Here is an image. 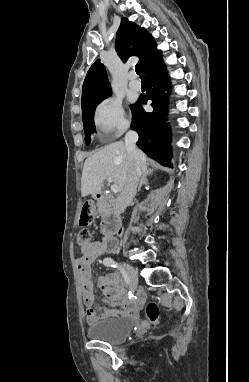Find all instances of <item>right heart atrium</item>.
<instances>
[{
    "mask_svg": "<svg viewBox=\"0 0 249 382\" xmlns=\"http://www.w3.org/2000/svg\"><path fill=\"white\" fill-rule=\"evenodd\" d=\"M94 123L108 137L119 136L129 125L121 101L114 97L106 98L98 104L94 112Z\"/></svg>",
    "mask_w": 249,
    "mask_h": 382,
    "instance_id": "right-heart-atrium-1",
    "label": "right heart atrium"
}]
</instances>
